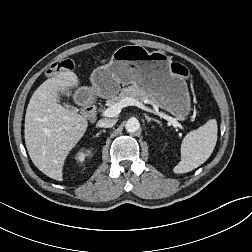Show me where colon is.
Segmentation results:
<instances>
[{
    "label": "colon",
    "mask_w": 252,
    "mask_h": 252,
    "mask_svg": "<svg viewBox=\"0 0 252 252\" xmlns=\"http://www.w3.org/2000/svg\"><path fill=\"white\" fill-rule=\"evenodd\" d=\"M73 68V63L70 60H64L61 62H58L54 64L49 70H48V75L49 76H56L60 74L61 72L65 70H70ZM172 72L182 76V77H187L188 76V70L185 66H183L180 63H173L171 66Z\"/></svg>",
    "instance_id": "1"
}]
</instances>
